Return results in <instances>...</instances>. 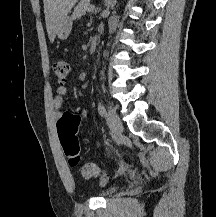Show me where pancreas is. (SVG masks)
Instances as JSON below:
<instances>
[{
	"label": "pancreas",
	"instance_id": "obj_1",
	"mask_svg": "<svg viewBox=\"0 0 216 217\" xmlns=\"http://www.w3.org/2000/svg\"><path fill=\"white\" fill-rule=\"evenodd\" d=\"M90 7V0H81L78 5L74 8V12L72 14L73 19H78L81 16L85 15Z\"/></svg>",
	"mask_w": 216,
	"mask_h": 217
}]
</instances>
